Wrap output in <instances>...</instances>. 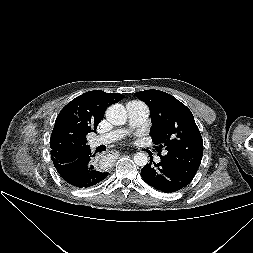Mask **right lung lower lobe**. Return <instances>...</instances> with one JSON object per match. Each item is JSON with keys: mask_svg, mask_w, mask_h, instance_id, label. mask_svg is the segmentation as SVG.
<instances>
[{"mask_svg": "<svg viewBox=\"0 0 253 253\" xmlns=\"http://www.w3.org/2000/svg\"><path fill=\"white\" fill-rule=\"evenodd\" d=\"M92 157L91 151H88L74 161L54 163V166L68 184L87 188L101 182L108 175L94 166Z\"/></svg>", "mask_w": 253, "mask_h": 253, "instance_id": "98d812e1", "label": "right lung lower lobe"}]
</instances>
